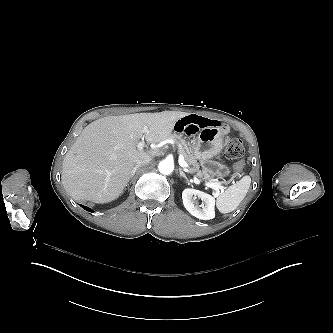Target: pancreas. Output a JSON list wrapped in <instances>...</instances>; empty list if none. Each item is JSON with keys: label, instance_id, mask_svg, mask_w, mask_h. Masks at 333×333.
Here are the masks:
<instances>
[{"label": "pancreas", "instance_id": "pancreas-1", "mask_svg": "<svg viewBox=\"0 0 333 333\" xmlns=\"http://www.w3.org/2000/svg\"><path fill=\"white\" fill-rule=\"evenodd\" d=\"M170 138L175 140L176 145L178 146V154L184 157L190 170L196 173V177H198L202 181L206 180L209 177L208 173L205 170H199L197 160L195 159L194 155L192 154L190 148L187 145V142L182 138V136L171 135Z\"/></svg>", "mask_w": 333, "mask_h": 333}]
</instances>
